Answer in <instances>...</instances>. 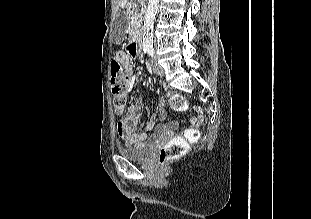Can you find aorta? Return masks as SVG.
<instances>
[{
  "mask_svg": "<svg viewBox=\"0 0 311 219\" xmlns=\"http://www.w3.org/2000/svg\"><path fill=\"white\" fill-rule=\"evenodd\" d=\"M159 7V0H149L144 18L143 28V49H151L153 47V28L155 16Z\"/></svg>",
  "mask_w": 311,
  "mask_h": 219,
  "instance_id": "obj_1",
  "label": "aorta"
}]
</instances>
